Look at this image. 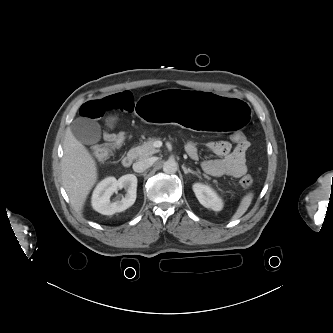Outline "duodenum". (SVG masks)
Instances as JSON below:
<instances>
[{"label": "duodenum", "mask_w": 333, "mask_h": 333, "mask_svg": "<svg viewBox=\"0 0 333 333\" xmlns=\"http://www.w3.org/2000/svg\"><path fill=\"white\" fill-rule=\"evenodd\" d=\"M133 163V156L128 154L126 156L123 157L122 159V165L127 168L130 167Z\"/></svg>", "instance_id": "duodenum-1"}]
</instances>
